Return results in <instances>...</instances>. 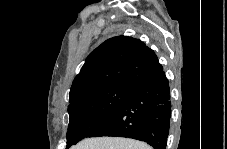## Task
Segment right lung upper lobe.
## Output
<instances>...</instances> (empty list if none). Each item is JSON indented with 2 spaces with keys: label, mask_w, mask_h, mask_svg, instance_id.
<instances>
[{
  "label": "right lung upper lobe",
  "mask_w": 227,
  "mask_h": 149,
  "mask_svg": "<svg viewBox=\"0 0 227 149\" xmlns=\"http://www.w3.org/2000/svg\"><path fill=\"white\" fill-rule=\"evenodd\" d=\"M161 70L156 54L141 40L128 36L110 38L87 57L73 81L69 102L110 84L134 88Z\"/></svg>",
  "instance_id": "right-lung-upper-lobe-1"
}]
</instances>
